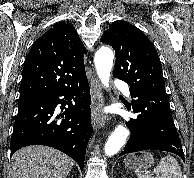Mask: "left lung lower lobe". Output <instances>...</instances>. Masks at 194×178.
<instances>
[{
    "instance_id": "left-lung-lower-lobe-1",
    "label": "left lung lower lobe",
    "mask_w": 194,
    "mask_h": 178,
    "mask_svg": "<svg viewBox=\"0 0 194 178\" xmlns=\"http://www.w3.org/2000/svg\"><path fill=\"white\" fill-rule=\"evenodd\" d=\"M130 95L134 98L132 109L139 114L127 123L131 136L121 155L143 150H161L172 152L185 161L168 95L135 88H130Z\"/></svg>"
}]
</instances>
